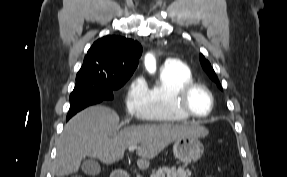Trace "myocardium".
I'll list each match as a JSON object with an SVG mask.
<instances>
[{
	"label": "myocardium",
	"instance_id": "1",
	"mask_svg": "<svg viewBox=\"0 0 287 177\" xmlns=\"http://www.w3.org/2000/svg\"><path fill=\"white\" fill-rule=\"evenodd\" d=\"M196 89L204 90L210 98V109H209V112L204 116H200V115L195 114L191 110V108L189 107V103H188L189 97L192 94V92ZM176 106H177L178 110L180 112H182L183 114H185L189 117H192L194 119L204 120V119L209 118L214 111V107H215L214 94L211 91V89L209 87H207L206 85L192 81V82L186 84L185 86H183L181 88V90L179 91L177 98H176Z\"/></svg>",
	"mask_w": 287,
	"mask_h": 177
}]
</instances>
